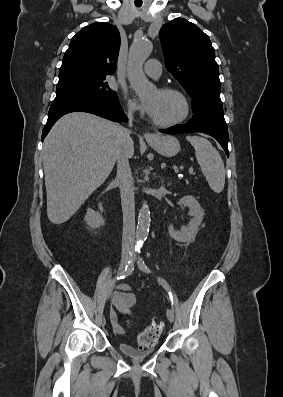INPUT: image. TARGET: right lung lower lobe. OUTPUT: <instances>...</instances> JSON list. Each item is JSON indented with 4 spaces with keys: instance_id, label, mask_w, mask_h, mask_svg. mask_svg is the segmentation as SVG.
<instances>
[{
    "instance_id": "obj_1",
    "label": "right lung lower lobe",
    "mask_w": 283,
    "mask_h": 397,
    "mask_svg": "<svg viewBox=\"0 0 283 397\" xmlns=\"http://www.w3.org/2000/svg\"><path fill=\"white\" fill-rule=\"evenodd\" d=\"M76 111L92 113L115 122L126 120L119 103L110 104L86 97L54 99L49 109L48 120L43 129L42 141L60 117Z\"/></svg>"
}]
</instances>
